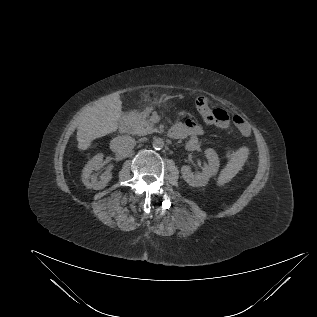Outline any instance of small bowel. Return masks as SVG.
Returning <instances> with one entry per match:
<instances>
[{
  "label": "small bowel",
  "instance_id": "c3829d8e",
  "mask_svg": "<svg viewBox=\"0 0 317 317\" xmlns=\"http://www.w3.org/2000/svg\"><path fill=\"white\" fill-rule=\"evenodd\" d=\"M228 123V118L224 123L219 124L221 127H225ZM234 123L241 132V134L247 136L250 134V126L241 116H234ZM203 134V129L193 120H186L184 123L175 124L170 130V136L174 139H189V146H194L197 143L198 137Z\"/></svg>",
  "mask_w": 317,
  "mask_h": 317
}]
</instances>
